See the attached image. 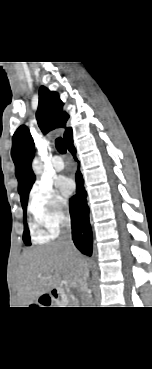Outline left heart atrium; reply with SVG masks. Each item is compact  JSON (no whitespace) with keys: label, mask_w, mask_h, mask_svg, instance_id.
Here are the masks:
<instances>
[{"label":"left heart atrium","mask_w":152,"mask_h":369,"mask_svg":"<svg viewBox=\"0 0 152 369\" xmlns=\"http://www.w3.org/2000/svg\"><path fill=\"white\" fill-rule=\"evenodd\" d=\"M56 185L61 194L65 197H68L73 191V183L67 177H59L57 179Z\"/></svg>","instance_id":"left-heart-atrium-1"}]
</instances>
